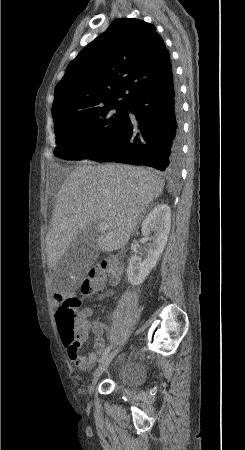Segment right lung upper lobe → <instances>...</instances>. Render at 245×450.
I'll return each instance as SVG.
<instances>
[{"label":"right lung upper lobe","instance_id":"cb5924a9","mask_svg":"<svg viewBox=\"0 0 245 450\" xmlns=\"http://www.w3.org/2000/svg\"><path fill=\"white\" fill-rule=\"evenodd\" d=\"M156 28L121 18L72 60L55 87L52 111H83L129 105L171 68L170 55Z\"/></svg>","mask_w":245,"mask_h":450}]
</instances>
